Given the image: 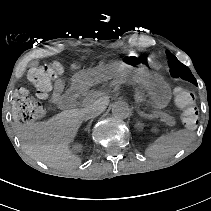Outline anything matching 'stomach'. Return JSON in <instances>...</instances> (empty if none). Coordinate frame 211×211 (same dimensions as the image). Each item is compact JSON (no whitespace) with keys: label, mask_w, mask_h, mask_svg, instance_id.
<instances>
[{"label":"stomach","mask_w":211,"mask_h":211,"mask_svg":"<svg viewBox=\"0 0 211 211\" xmlns=\"http://www.w3.org/2000/svg\"><path fill=\"white\" fill-rule=\"evenodd\" d=\"M112 78L141 85L157 109L165 108L170 102L171 88L168 83L160 74L141 65L115 64L101 69H88L79 73L75 82L81 87H89Z\"/></svg>","instance_id":"0dacf381"}]
</instances>
